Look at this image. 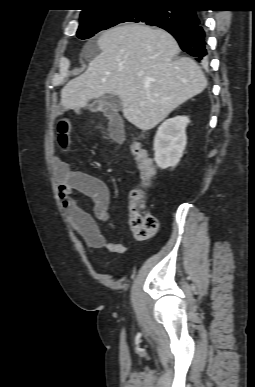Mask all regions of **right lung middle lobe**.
I'll list each match as a JSON object with an SVG mask.
<instances>
[{"label": "right lung middle lobe", "instance_id": "dd1d6c3e", "mask_svg": "<svg viewBox=\"0 0 255 387\" xmlns=\"http://www.w3.org/2000/svg\"><path fill=\"white\" fill-rule=\"evenodd\" d=\"M184 21L180 8L161 10L157 6L116 7L80 18L77 37L88 39L101 30L124 22H143L147 25L160 27Z\"/></svg>", "mask_w": 255, "mask_h": 387}]
</instances>
